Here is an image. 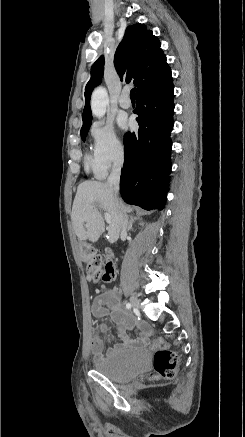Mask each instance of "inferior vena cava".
<instances>
[{
	"instance_id": "inferior-vena-cava-1",
	"label": "inferior vena cava",
	"mask_w": 245,
	"mask_h": 437,
	"mask_svg": "<svg viewBox=\"0 0 245 437\" xmlns=\"http://www.w3.org/2000/svg\"><path fill=\"white\" fill-rule=\"evenodd\" d=\"M123 152H120L115 158L112 166L111 173L108 177V184L112 187L114 195L117 196L119 193V181L121 176V168L123 166ZM127 228L126 216L122 220L121 230L125 232Z\"/></svg>"
}]
</instances>
